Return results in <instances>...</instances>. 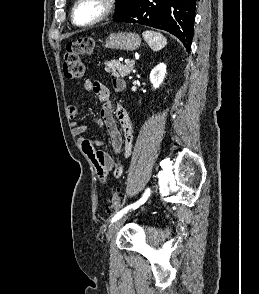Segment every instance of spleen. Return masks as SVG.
I'll return each mask as SVG.
<instances>
[{"label": "spleen", "mask_w": 259, "mask_h": 294, "mask_svg": "<svg viewBox=\"0 0 259 294\" xmlns=\"http://www.w3.org/2000/svg\"><path fill=\"white\" fill-rule=\"evenodd\" d=\"M142 35L150 48L154 51L163 49L167 44V39L159 32L144 31Z\"/></svg>", "instance_id": "spleen-1"}]
</instances>
